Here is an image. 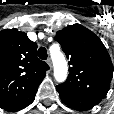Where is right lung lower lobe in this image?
Listing matches in <instances>:
<instances>
[{"instance_id": "1", "label": "right lung lower lobe", "mask_w": 114, "mask_h": 114, "mask_svg": "<svg viewBox=\"0 0 114 114\" xmlns=\"http://www.w3.org/2000/svg\"><path fill=\"white\" fill-rule=\"evenodd\" d=\"M34 99H35V94L15 104L9 105L5 107L4 109L6 111H17V110L23 109L26 106L30 105L34 101Z\"/></svg>"}]
</instances>
